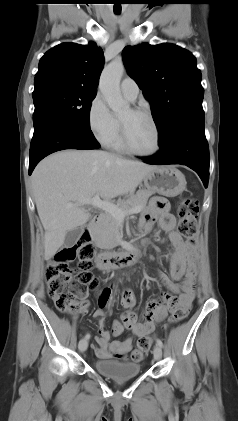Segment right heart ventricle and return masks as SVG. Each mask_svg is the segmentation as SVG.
Segmentation results:
<instances>
[{
    "instance_id": "right-heart-ventricle-1",
    "label": "right heart ventricle",
    "mask_w": 238,
    "mask_h": 421,
    "mask_svg": "<svg viewBox=\"0 0 238 421\" xmlns=\"http://www.w3.org/2000/svg\"><path fill=\"white\" fill-rule=\"evenodd\" d=\"M106 145L109 148H111V149H113V150H115L117 152H121V153L127 152L126 149H125V147H124V145H123V143H122L121 137H120V130H118L116 136L112 139V141H110Z\"/></svg>"
}]
</instances>
